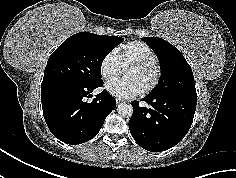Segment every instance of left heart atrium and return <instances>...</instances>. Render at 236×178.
<instances>
[{
    "instance_id": "1",
    "label": "left heart atrium",
    "mask_w": 236,
    "mask_h": 178,
    "mask_svg": "<svg viewBox=\"0 0 236 178\" xmlns=\"http://www.w3.org/2000/svg\"><path fill=\"white\" fill-rule=\"evenodd\" d=\"M106 90L118 98H131L142 92L140 85L133 79L124 78L106 84Z\"/></svg>"
}]
</instances>
